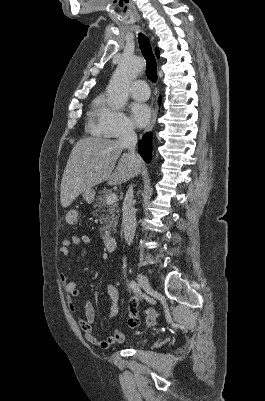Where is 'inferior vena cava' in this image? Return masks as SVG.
<instances>
[{"label":"inferior vena cava","instance_id":"602c4592","mask_svg":"<svg viewBox=\"0 0 265 401\" xmlns=\"http://www.w3.org/2000/svg\"><path fill=\"white\" fill-rule=\"evenodd\" d=\"M119 142L123 148H128L129 156H131L134 162H138V156L135 154V146L137 142V134L134 132L132 124H124L123 130L119 136ZM133 205V186L130 184L124 203L122 207V229L124 233V239L128 245H131L134 239V233L136 229V215Z\"/></svg>","mask_w":265,"mask_h":401}]
</instances>
